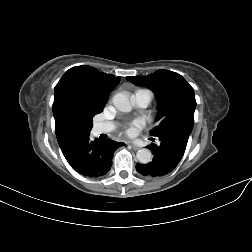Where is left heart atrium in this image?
<instances>
[{"mask_svg":"<svg viewBox=\"0 0 252 252\" xmlns=\"http://www.w3.org/2000/svg\"><path fill=\"white\" fill-rule=\"evenodd\" d=\"M143 126V121L141 119H135L128 122L122 126L123 132L127 136H134L139 128Z\"/></svg>","mask_w":252,"mask_h":252,"instance_id":"1","label":"left heart atrium"}]
</instances>
